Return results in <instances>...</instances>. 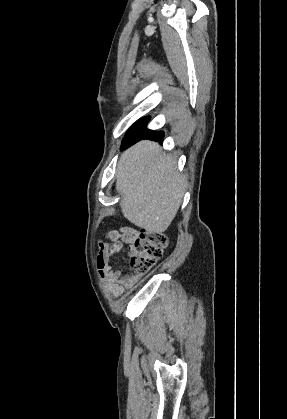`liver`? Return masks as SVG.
Returning a JSON list of instances; mask_svg holds the SVG:
<instances>
[{"mask_svg":"<svg viewBox=\"0 0 287 419\" xmlns=\"http://www.w3.org/2000/svg\"><path fill=\"white\" fill-rule=\"evenodd\" d=\"M123 216L149 234L164 232L175 218L186 189L177 158L151 141L124 151L116 170Z\"/></svg>","mask_w":287,"mask_h":419,"instance_id":"1","label":"liver"}]
</instances>
